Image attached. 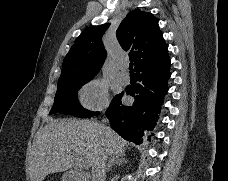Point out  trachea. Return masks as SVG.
<instances>
[{
	"instance_id": "obj_1",
	"label": "trachea",
	"mask_w": 228,
	"mask_h": 181,
	"mask_svg": "<svg viewBox=\"0 0 228 181\" xmlns=\"http://www.w3.org/2000/svg\"><path fill=\"white\" fill-rule=\"evenodd\" d=\"M129 70H130V72H133V63L129 64Z\"/></svg>"
}]
</instances>
